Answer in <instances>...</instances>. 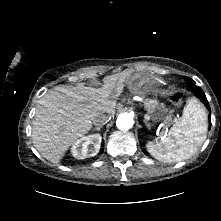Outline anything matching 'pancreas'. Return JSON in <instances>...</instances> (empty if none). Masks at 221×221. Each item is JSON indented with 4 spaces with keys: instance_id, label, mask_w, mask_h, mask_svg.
<instances>
[{
    "instance_id": "1",
    "label": "pancreas",
    "mask_w": 221,
    "mask_h": 221,
    "mask_svg": "<svg viewBox=\"0 0 221 221\" xmlns=\"http://www.w3.org/2000/svg\"><path fill=\"white\" fill-rule=\"evenodd\" d=\"M144 105H145V108H146V110L148 111V113H150V114H153V113H155L157 110H160V109H162L163 110V108H164V105L163 104H158V103H156V102H154V101H150V100H147L145 103H144Z\"/></svg>"
}]
</instances>
